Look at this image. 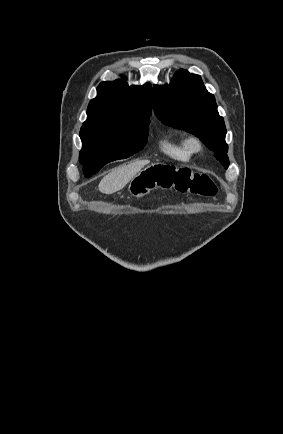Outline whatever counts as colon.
<instances>
[{
	"instance_id": "1",
	"label": "colon",
	"mask_w": 283,
	"mask_h": 434,
	"mask_svg": "<svg viewBox=\"0 0 283 434\" xmlns=\"http://www.w3.org/2000/svg\"><path fill=\"white\" fill-rule=\"evenodd\" d=\"M155 188L175 189L205 197L217 192V186L209 175L166 164H154L141 171L132 181L130 192L135 197H142Z\"/></svg>"
}]
</instances>
